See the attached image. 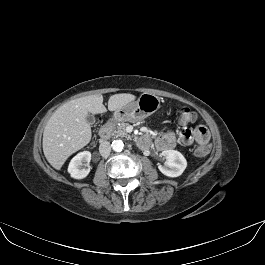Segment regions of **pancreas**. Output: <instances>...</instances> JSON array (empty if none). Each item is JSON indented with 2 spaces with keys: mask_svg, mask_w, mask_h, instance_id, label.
Listing matches in <instances>:
<instances>
[{
  "mask_svg": "<svg viewBox=\"0 0 265 265\" xmlns=\"http://www.w3.org/2000/svg\"><path fill=\"white\" fill-rule=\"evenodd\" d=\"M126 126H127V123H124V122L114 124L112 126V136L130 138V136L125 131Z\"/></svg>",
  "mask_w": 265,
  "mask_h": 265,
  "instance_id": "cf45deb5",
  "label": "pancreas"
}]
</instances>
